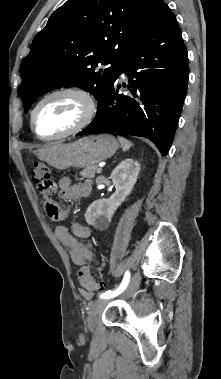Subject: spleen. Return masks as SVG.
Masks as SVG:
<instances>
[{
  "label": "spleen",
  "mask_w": 221,
  "mask_h": 379,
  "mask_svg": "<svg viewBox=\"0 0 221 379\" xmlns=\"http://www.w3.org/2000/svg\"><path fill=\"white\" fill-rule=\"evenodd\" d=\"M118 141L120 142L123 150H128L132 145V143L129 140H127L121 136H118Z\"/></svg>",
  "instance_id": "1"
}]
</instances>
